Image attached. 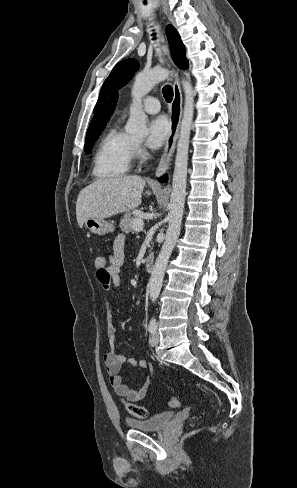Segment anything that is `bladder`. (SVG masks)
Wrapping results in <instances>:
<instances>
[{
    "mask_svg": "<svg viewBox=\"0 0 297 488\" xmlns=\"http://www.w3.org/2000/svg\"><path fill=\"white\" fill-rule=\"evenodd\" d=\"M173 417V412L165 411L155 414L145 420L127 418L125 423L131 429L144 432H156L164 429L171 422Z\"/></svg>",
    "mask_w": 297,
    "mask_h": 488,
    "instance_id": "31cf9c89",
    "label": "bladder"
}]
</instances>
